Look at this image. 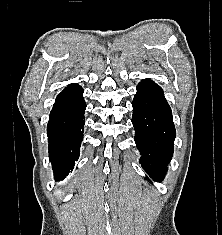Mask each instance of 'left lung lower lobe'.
<instances>
[{"label":"left lung lower lobe","instance_id":"obj_1","mask_svg":"<svg viewBox=\"0 0 222 235\" xmlns=\"http://www.w3.org/2000/svg\"><path fill=\"white\" fill-rule=\"evenodd\" d=\"M135 143L142 157L140 163L154 180H163L173 155L175 127L171 108L163 90L149 79L137 85L132 102Z\"/></svg>","mask_w":222,"mask_h":235}]
</instances>
